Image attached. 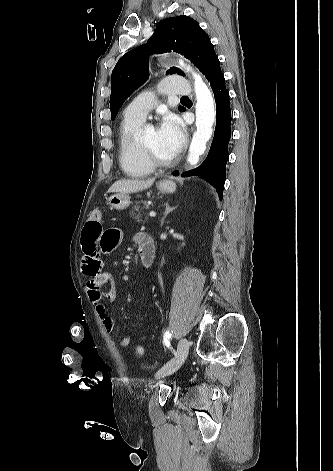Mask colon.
<instances>
[{
    "label": "colon",
    "instance_id": "obj_1",
    "mask_svg": "<svg viewBox=\"0 0 333 471\" xmlns=\"http://www.w3.org/2000/svg\"><path fill=\"white\" fill-rule=\"evenodd\" d=\"M101 218V212L98 209L93 210L90 213L89 219L92 221H98ZM136 354L142 356L144 354V347L142 345H137L135 348Z\"/></svg>",
    "mask_w": 333,
    "mask_h": 471
}]
</instances>
